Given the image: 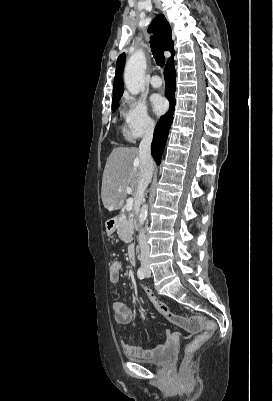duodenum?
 <instances>
[{"mask_svg": "<svg viewBox=\"0 0 273 401\" xmlns=\"http://www.w3.org/2000/svg\"><path fill=\"white\" fill-rule=\"evenodd\" d=\"M117 222V217H112L107 222V230L108 232H113L115 225ZM128 261L131 265H135L136 263V250L134 245H130L127 252Z\"/></svg>", "mask_w": 273, "mask_h": 401, "instance_id": "obj_1", "label": "duodenum"}]
</instances>
